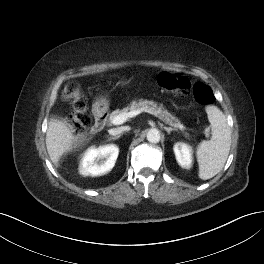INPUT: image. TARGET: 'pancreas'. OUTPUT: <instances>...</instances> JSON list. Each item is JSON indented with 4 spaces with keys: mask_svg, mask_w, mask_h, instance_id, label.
<instances>
[{
    "mask_svg": "<svg viewBox=\"0 0 264 264\" xmlns=\"http://www.w3.org/2000/svg\"><path fill=\"white\" fill-rule=\"evenodd\" d=\"M139 108L152 109L153 111L157 112L158 115L165 122L173 125L174 127L179 128L181 130H185V127L180 123L178 118H176L171 113H169L163 107V105H158L154 101H148V100H143V99H140L139 101H133L130 105L124 107L122 110H120V109L114 110L112 113H110L108 120H109V122H111L112 118L117 116V115H119L120 113L136 110V109H139ZM180 126H182V128H180Z\"/></svg>",
    "mask_w": 264,
    "mask_h": 264,
    "instance_id": "cf45deb5",
    "label": "pancreas"
}]
</instances>
